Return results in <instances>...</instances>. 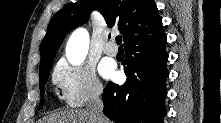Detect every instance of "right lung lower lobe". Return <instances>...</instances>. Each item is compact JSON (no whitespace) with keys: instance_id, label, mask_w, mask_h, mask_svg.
Listing matches in <instances>:
<instances>
[{"instance_id":"1","label":"right lung lower lobe","mask_w":221,"mask_h":123,"mask_svg":"<svg viewBox=\"0 0 221 123\" xmlns=\"http://www.w3.org/2000/svg\"><path fill=\"white\" fill-rule=\"evenodd\" d=\"M167 38L163 31L134 41L122 63L128 77L123 85L109 82L103 92V113L116 123H164L169 72Z\"/></svg>"}]
</instances>
